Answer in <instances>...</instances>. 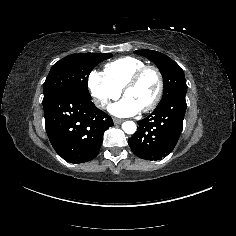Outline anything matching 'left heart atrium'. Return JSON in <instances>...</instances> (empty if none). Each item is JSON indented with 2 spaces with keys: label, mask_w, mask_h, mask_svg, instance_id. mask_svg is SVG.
<instances>
[{
  "label": "left heart atrium",
  "mask_w": 236,
  "mask_h": 236,
  "mask_svg": "<svg viewBox=\"0 0 236 236\" xmlns=\"http://www.w3.org/2000/svg\"><path fill=\"white\" fill-rule=\"evenodd\" d=\"M140 111L141 109L128 98H124L110 107V112L118 117L133 116Z\"/></svg>",
  "instance_id": "obj_1"
}]
</instances>
